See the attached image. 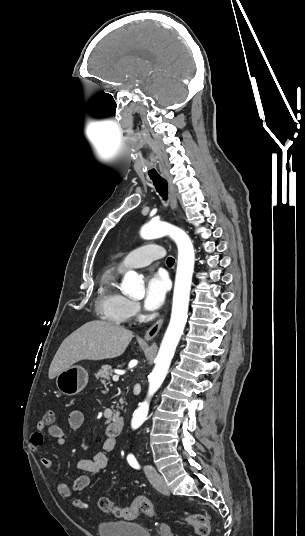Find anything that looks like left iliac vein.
Returning a JSON list of instances; mask_svg holds the SVG:
<instances>
[{
	"instance_id": "1",
	"label": "left iliac vein",
	"mask_w": 305,
	"mask_h": 536,
	"mask_svg": "<svg viewBox=\"0 0 305 536\" xmlns=\"http://www.w3.org/2000/svg\"><path fill=\"white\" fill-rule=\"evenodd\" d=\"M144 471L146 472V475L148 479L150 480L151 484L159 492L163 494H166L169 492V488L167 487L164 478L153 467H146Z\"/></svg>"
}]
</instances>
